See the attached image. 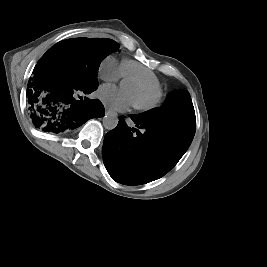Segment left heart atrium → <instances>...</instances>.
I'll use <instances>...</instances> for the list:
<instances>
[{
	"label": "left heart atrium",
	"mask_w": 267,
	"mask_h": 267,
	"mask_svg": "<svg viewBox=\"0 0 267 267\" xmlns=\"http://www.w3.org/2000/svg\"><path fill=\"white\" fill-rule=\"evenodd\" d=\"M99 95L109 108L114 111H123L133 103L132 96L127 90L119 89L112 85L102 86Z\"/></svg>",
	"instance_id": "left-heart-atrium-1"
}]
</instances>
